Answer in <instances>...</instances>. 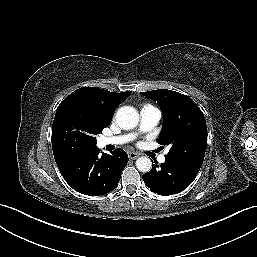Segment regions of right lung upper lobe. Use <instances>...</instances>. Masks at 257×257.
<instances>
[{
	"instance_id": "cb5924a9",
	"label": "right lung upper lobe",
	"mask_w": 257,
	"mask_h": 257,
	"mask_svg": "<svg viewBox=\"0 0 257 257\" xmlns=\"http://www.w3.org/2000/svg\"><path fill=\"white\" fill-rule=\"evenodd\" d=\"M131 91L115 93L96 87H82L67 96L58 106L52 125V149L55 160L93 149L72 142L70 134L77 129L74 115L83 114L103 124H110L115 109Z\"/></svg>"
}]
</instances>
